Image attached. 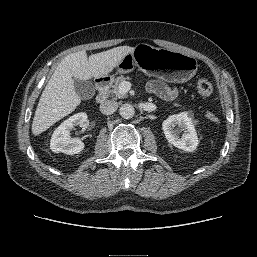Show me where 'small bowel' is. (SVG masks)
<instances>
[{
  "mask_svg": "<svg viewBox=\"0 0 257 257\" xmlns=\"http://www.w3.org/2000/svg\"><path fill=\"white\" fill-rule=\"evenodd\" d=\"M147 89L166 100H172L176 97V90L158 80H152L147 83Z\"/></svg>",
  "mask_w": 257,
  "mask_h": 257,
  "instance_id": "small-bowel-1",
  "label": "small bowel"
}]
</instances>
